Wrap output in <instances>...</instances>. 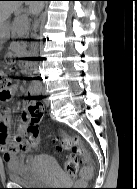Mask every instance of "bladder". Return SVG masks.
Instances as JSON below:
<instances>
[{
    "mask_svg": "<svg viewBox=\"0 0 137 189\" xmlns=\"http://www.w3.org/2000/svg\"><path fill=\"white\" fill-rule=\"evenodd\" d=\"M10 181L23 185H47L60 175V168L54 157L41 155L36 157L32 165L22 167L18 171L9 170Z\"/></svg>",
    "mask_w": 137,
    "mask_h": 189,
    "instance_id": "obj_1",
    "label": "bladder"
}]
</instances>
